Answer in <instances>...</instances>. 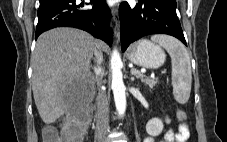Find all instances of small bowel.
<instances>
[{"instance_id": "c3829d8e", "label": "small bowel", "mask_w": 227, "mask_h": 142, "mask_svg": "<svg viewBox=\"0 0 227 142\" xmlns=\"http://www.w3.org/2000/svg\"><path fill=\"white\" fill-rule=\"evenodd\" d=\"M166 122H170V118H166ZM186 131V135L184 132ZM190 132L187 124H180L178 132H174L173 130H167L163 136L162 140L158 142H186L189 138ZM143 142H155V140L148 136L144 139Z\"/></svg>"}]
</instances>
